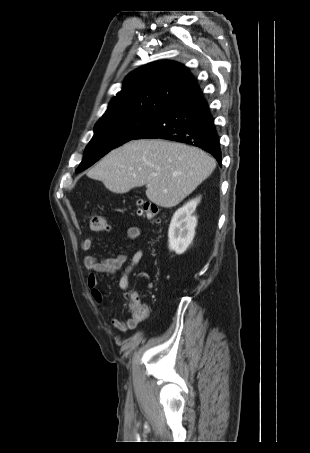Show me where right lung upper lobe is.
I'll return each mask as SVG.
<instances>
[{"mask_svg": "<svg viewBox=\"0 0 310 453\" xmlns=\"http://www.w3.org/2000/svg\"><path fill=\"white\" fill-rule=\"evenodd\" d=\"M199 88L184 65L156 61L131 72L122 90L110 101L103 117L124 113L158 114Z\"/></svg>", "mask_w": 310, "mask_h": 453, "instance_id": "1", "label": "right lung upper lobe"}]
</instances>
